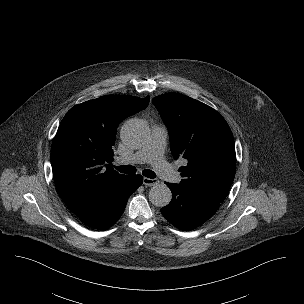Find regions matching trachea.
Wrapping results in <instances>:
<instances>
[{"label":"trachea","mask_w":304,"mask_h":304,"mask_svg":"<svg viewBox=\"0 0 304 304\" xmlns=\"http://www.w3.org/2000/svg\"><path fill=\"white\" fill-rule=\"evenodd\" d=\"M119 172L126 173V174H133L136 173V168L132 165H121V166H114ZM142 174L147 178H155V173L152 170L145 169L143 170Z\"/></svg>","instance_id":"3493384b"}]
</instances>
